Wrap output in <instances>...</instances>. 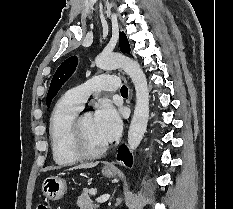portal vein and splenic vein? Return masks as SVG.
Wrapping results in <instances>:
<instances>
[{
  "label": "portal vein and splenic vein",
  "mask_w": 233,
  "mask_h": 209,
  "mask_svg": "<svg viewBox=\"0 0 233 209\" xmlns=\"http://www.w3.org/2000/svg\"><path fill=\"white\" fill-rule=\"evenodd\" d=\"M108 199H109V196H108V195H107V196H101V197H98V198L96 199V202H98V203H104V202H106Z\"/></svg>",
  "instance_id": "1"
}]
</instances>
